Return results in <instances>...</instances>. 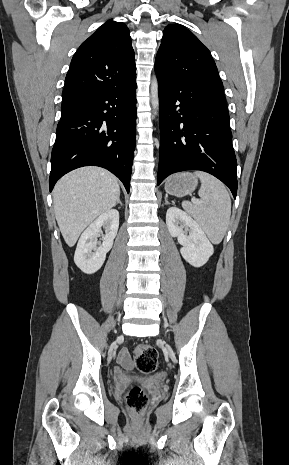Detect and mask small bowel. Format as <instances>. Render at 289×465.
<instances>
[{
	"mask_svg": "<svg viewBox=\"0 0 289 465\" xmlns=\"http://www.w3.org/2000/svg\"><path fill=\"white\" fill-rule=\"evenodd\" d=\"M117 361L119 365L125 369H131L133 367V361L127 349H121L117 355Z\"/></svg>",
	"mask_w": 289,
	"mask_h": 465,
	"instance_id": "1",
	"label": "small bowel"
}]
</instances>
